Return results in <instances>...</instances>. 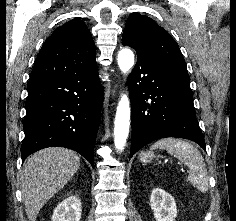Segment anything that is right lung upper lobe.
<instances>
[{"label": "right lung upper lobe", "mask_w": 236, "mask_h": 221, "mask_svg": "<svg viewBox=\"0 0 236 221\" xmlns=\"http://www.w3.org/2000/svg\"><path fill=\"white\" fill-rule=\"evenodd\" d=\"M95 45L85 23L74 18L58 27L43 44L28 86L97 70Z\"/></svg>", "instance_id": "cb5924a9"}]
</instances>
